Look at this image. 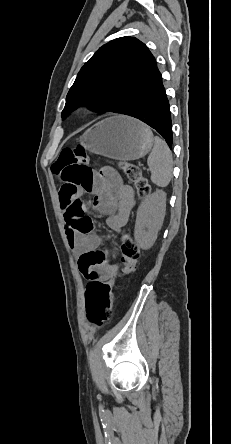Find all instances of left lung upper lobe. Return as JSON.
Masks as SVG:
<instances>
[{
	"label": "left lung upper lobe",
	"mask_w": 231,
	"mask_h": 444,
	"mask_svg": "<svg viewBox=\"0 0 231 444\" xmlns=\"http://www.w3.org/2000/svg\"><path fill=\"white\" fill-rule=\"evenodd\" d=\"M155 62L147 46L136 38L108 42L79 71L62 117L81 105L98 113L119 112Z\"/></svg>",
	"instance_id": "obj_1"
}]
</instances>
